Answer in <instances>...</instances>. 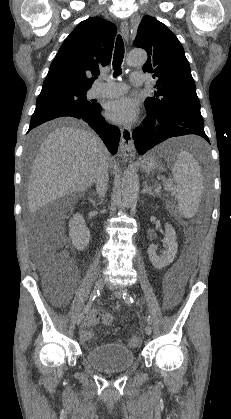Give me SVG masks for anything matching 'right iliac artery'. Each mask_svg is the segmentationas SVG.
Returning a JSON list of instances; mask_svg holds the SVG:
<instances>
[{"instance_id":"right-iliac-artery-1","label":"right iliac artery","mask_w":231,"mask_h":419,"mask_svg":"<svg viewBox=\"0 0 231 419\" xmlns=\"http://www.w3.org/2000/svg\"><path fill=\"white\" fill-rule=\"evenodd\" d=\"M98 296H99V290H95V291L92 292V294L90 295L89 302H88V304L84 308V312H88V310L91 308V305H92L93 301Z\"/></svg>"}]
</instances>
